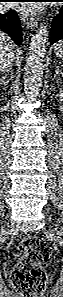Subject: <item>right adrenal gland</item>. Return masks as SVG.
<instances>
[{"label": "right adrenal gland", "instance_id": "right-adrenal-gland-1", "mask_svg": "<svg viewBox=\"0 0 63 297\" xmlns=\"http://www.w3.org/2000/svg\"><path fill=\"white\" fill-rule=\"evenodd\" d=\"M6 77H7V75L2 76V77L0 78V86H1V87L7 85V83H8V78H6Z\"/></svg>", "mask_w": 63, "mask_h": 297}]
</instances>
